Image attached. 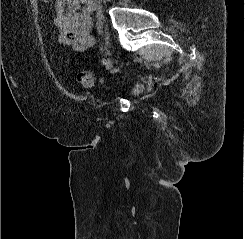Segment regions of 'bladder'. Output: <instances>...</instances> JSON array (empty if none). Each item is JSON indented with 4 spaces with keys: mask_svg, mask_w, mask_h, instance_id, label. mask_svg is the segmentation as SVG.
<instances>
[{
    "mask_svg": "<svg viewBox=\"0 0 245 239\" xmlns=\"http://www.w3.org/2000/svg\"><path fill=\"white\" fill-rule=\"evenodd\" d=\"M145 91V87L143 85H135L131 88V93L134 97H138L141 93Z\"/></svg>",
    "mask_w": 245,
    "mask_h": 239,
    "instance_id": "obj_1",
    "label": "bladder"
}]
</instances>
